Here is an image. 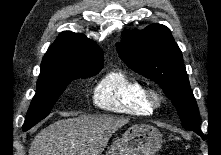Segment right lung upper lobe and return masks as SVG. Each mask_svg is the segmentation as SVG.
Segmentation results:
<instances>
[{"instance_id":"cb5924a9","label":"right lung upper lobe","mask_w":221,"mask_h":155,"mask_svg":"<svg viewBox=\"0 0 221 155\" xmlns=\"http://www.w3.org/2000/svg\"><path fill=\"white\" fill-rule=\"evenodd\" d=\"M101 65H103V52L95 42L82 34L65 31L49 47L43 57L41 70L61 71Z\"/></svg>"}]
</instances>
